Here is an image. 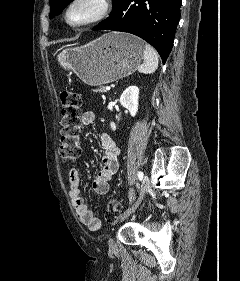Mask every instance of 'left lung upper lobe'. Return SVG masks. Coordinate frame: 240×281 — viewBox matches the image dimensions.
<instances>
[{
  "label": "left lung upper lobe",
  "mask_w": 240,
  "mask_h": 281,
  "mask_svg": "<svg viewBox=\"0 0 240 281\" xmlns=\"http://www.w3.org/2000/svg\"><path fill=\"white\" fill-rule=\"evenodd\" d=\"M72 0H50V15L49 18H53L55 15H58L61 13V11L66 7V5L71 2ZM117 0H113V4Z\"/></svg>",
  "instance_id": "1"
}]
</instances>
